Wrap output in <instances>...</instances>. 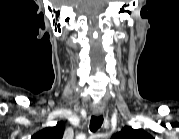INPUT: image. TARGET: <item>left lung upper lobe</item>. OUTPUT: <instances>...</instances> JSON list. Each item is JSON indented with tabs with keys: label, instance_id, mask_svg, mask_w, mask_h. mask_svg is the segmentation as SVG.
I'll return each mask as SVG.
<instances>
[{
	"label": "left lung upper lobe",
	"instance_id": "5c2ea615",
	"mask_svg": "<svg viewBox=\"0 0 179 139\" xmlns=\"http://www.w3.org/2000/svg\"><path fill=\"white\" fill-rule=\"evenodd\" d=\"M149 134L142 129H133L130 126L124 127L115 136V139H145Z\"/></svg>",
	"mask_w": 179,
	"mask_h": 139
}]
</instances>
